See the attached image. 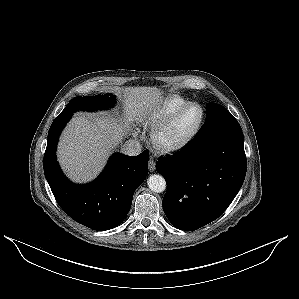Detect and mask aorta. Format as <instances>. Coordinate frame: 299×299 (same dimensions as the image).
<instances>
[{
    "label": "aorta",
    "mask_w": 299,
    "mask_h": 299,
    "mask_svg": "<svg viewBox=\"0 0 299 299\" xmlns=\"http://www.w3.org/2000/svg\"><path fill=\"white\" fill-rule=\"evenodd\" d=\"M148 187L156 193H161L166 189V181L159 174L151 175L147 180Z\"/></svg>",
    "instance_id": "aorta-1"
}]
</instances>
